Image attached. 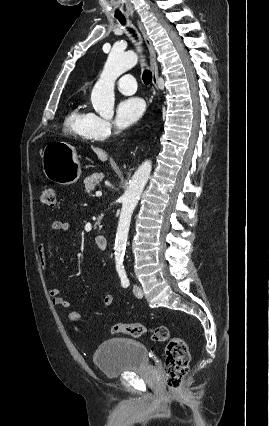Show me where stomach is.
I'll list each match as a JSON object with an SVG mask.
<instances>
[{
	"label": "stomach",
	"mask_w": 269,
	"mask_h": 426,
	"mask_svg": "<svg viewBox=\"0 0 269 426\" xmlns=\"http://www.w3.org/2000/svg\"><path fill=\"white\" fill-rule=\"evenodd\" d=\"M42 166L47 179L60 185L74 184L81 175L75 148L63 141L46 145L42 153Z\"/></svg>",
	"instance_id": "stomach-1"
}]
</instances>
